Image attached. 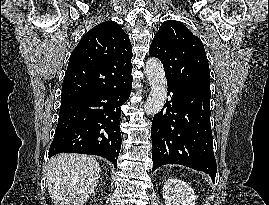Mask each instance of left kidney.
Wrapping results in <instances>:
<instances>
[{"mask_svg":"<svg viewBox=\"0 0 269 205\" xmlns=\"http://www.w3.org/2000/svg\"><path fill=\"white\" fill-rule=\"evenodd\" d=\"M166 205H196V195L189 184L176 178H169L163 185Z\"/></svg>","mask_w":269,"mask_h":205,"instance_id":"left-kidney-1","label":"left kidney"}]
</instances>
